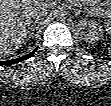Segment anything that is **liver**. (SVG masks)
<instances>
[{
  "instance_id": "obj_1",
  "label": "liver",
  "mask_w": 111,
  "mask_h": 106,
  "mask_svg": "<svg viewBox=\"0 0 111 106\" xmlns=\"http://www.w3.org/2000/svg\"><path fill=\"white\" fill-rule=\"evenodd\" d=\"M40 0L0 1V55L7 57L23 44L31 24V9Z\"/></svg>"
}]
</instances>
